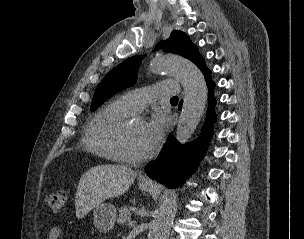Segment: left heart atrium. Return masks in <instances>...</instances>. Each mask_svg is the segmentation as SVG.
Returning <instances> with one entry per match:
<instances>
[{
  "instance_id": "left-heart-atrium-1",
  "label": "left heart atrium",
  "mask_w": 304,
  "mask_h": 239,
  "mask_svg": "<svg viewBox=\"0 0 304 239\" xmlns=\"http://www.w3.org/2000/svg\"><path fill=\"white\" fill-rule=\"evenodd\" d=\"M167 128V119L163 112L156 111L142 131V142L147 152L157 147Z\"/></svg>"
}]
</instances>
